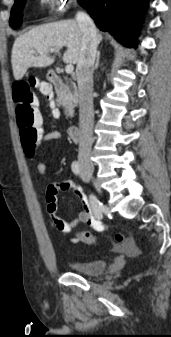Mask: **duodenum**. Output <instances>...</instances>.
<instances>
[{
	"mask_svg": "<svg viewBox=\"0 0 171 337\" xmlns=\"http://www.w3.org/2000/svg\"><path fill=\"white\" fill-rule=\"evenodd\" d=\"M48 78L52 85L55 87V89L59 90L62 85L64 84V78L60 76L56 72H49ZM68 135L74 140V141H80V130L77 125H70L67 129Z\"/></svg>",
	"mask_w": 171,
	"mask_h": 337,
	"instance_id": "1",
	"label": "duodenum"
}]
</instances>
